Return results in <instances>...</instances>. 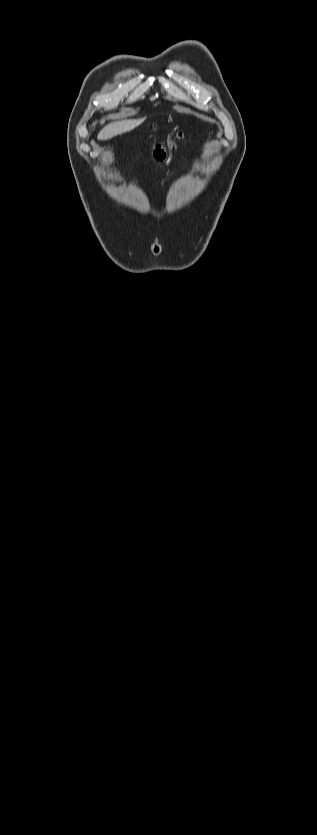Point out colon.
Masks as SVG:
<instances>
[{
	"label": "colon",
	"instance_id": "colon-1",
	"mask_svg": "<svg viewBox=\"0 0 317 835\" xmlns=\"http://www.w3.org/2000/svg\"><path fill=\"white\" fill-rule=\"evenodd\" d=\"M183 138V133H179L178 140ZM176 143L173 141L167 146L159 145L153 151L154 162L161 163L166 160L170 152L174 149Z\"/></svg>",
	"mask_w": 317,
	"mask_h": 835
}]
</instances>
